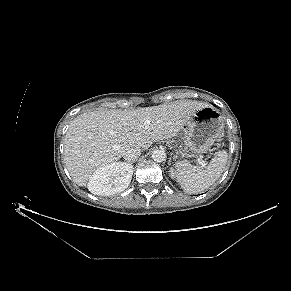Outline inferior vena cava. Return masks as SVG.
Listing matches in <instances>:
<instances>
[{
	"label": "inferior vena cava",
	"mask_w": 291,
	"mask_h": 291,
	"mask_svg": "<svg viewBox=\"0 0 291 291\" xmlns=\"http://www.w3.org/2000/svg\"><path fill=\"white\" fill-rule=\"evenodd\" d=\"M141 155V149L136 146H126L123 148L122 156L127 162L135 161Z\"/></svg>",
	"instance_id": "602c4592"
}]
</instances>
